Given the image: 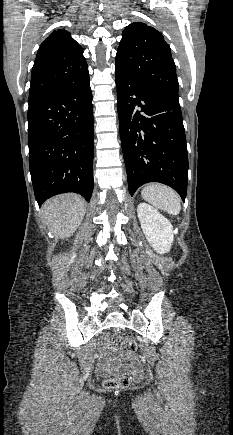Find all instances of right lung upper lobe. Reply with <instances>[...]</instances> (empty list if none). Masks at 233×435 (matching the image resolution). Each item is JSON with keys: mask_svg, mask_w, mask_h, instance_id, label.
<instances>
[{"mask_svg": "<svg viewBox=\"0 0 233 435\" xmlns=\"http://www.w3.org/2000/svg\"><path fill=\"white\" fill-rule=\"evenodd\" d=\"M88 72L82 47L66 30H57L41 44L32 68L28 103L33 104Z\"/></svg>", "mask_w": 233, "mask_h": 435, "instance_id": "right-lung-upper-lobe-1", "label": "right lung upper lobe"}]
</instances>
